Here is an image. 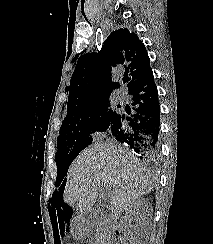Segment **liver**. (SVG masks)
<instances>
[{
    "mask_svg": "<svg viewBox=\"0 0 213 244\" xmlns=\"http://www.w3.org/2000/svg\"><path fill=\"white\" fill-rule=\"evenodd\" d=\"M156 178L127 150L112 143H98L82 151L67 175L63 200L81 214L95 205L99 190L107 193L114 216L156 187Z\"/></svg>",
    "mask_w": 213,
    "mask_h": 244,
    "instance_id": "obj_1",
    "label": "liver"
}]
</instances>
